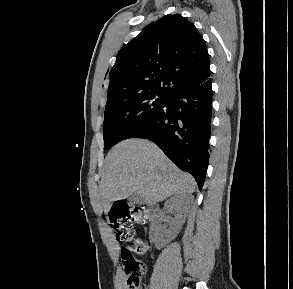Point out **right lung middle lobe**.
<instances>
[{
	"mask_svg": "<svg viewBox=\"0 0 293 289\" xmlns=\"http://www.w3.org/2000/svg\"><path fill=\"white\" fill-rule=\"evenodd\" d=\"M167 98L161 93H144L106 105L103 123L104 149L127 139L162 108Z\"/></svg>",
	"mask_w": 293,
	"mask_h": 289,
	"instance_id": "dd1d6c3e",
	"label": "right lung middle lobe"
}]
</instances>
